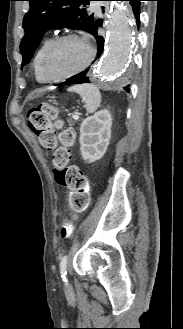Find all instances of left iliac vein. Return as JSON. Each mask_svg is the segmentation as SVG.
Wrapping results in <instances>:
<instances>
[{
	"label": "left iliac vein",
	"mask_w": 183,
	"mask_h": 329,
	"mask_svg": "<svg viewBox=\"0 0 183 329\" xmlns=\"http://www.w3.org/2000/svg\"><path fill=\"white\" fill-rule=\"evenodd\" d=\"M66 290L69 292V290H70V287L67 285V287H66Z\"/></svg>",
	"instance_id": "1"
}]
</instances>
